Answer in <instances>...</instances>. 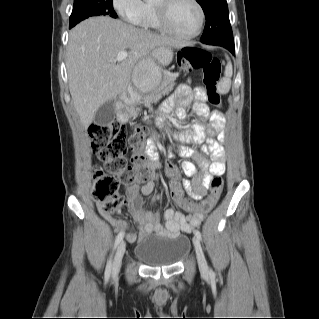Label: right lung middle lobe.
I'll use <instances>...</instances> for the list:
<instances>
[{
  "mask_svg": "<svg viewBox=\"0 0 319 319\" xmlns=\"http://www.w3.org/2000/svg\"><path fill=\"white\" fill-rule=\"evenodd\" d=\"M98 15H110L116 18L113 0H74V8L70 16V28L80 21Z\"/></svg>",
  "mask_w": 319,
  "mask_h": 319,
  "instance_id": "right-lung-middle-lobe-1",
  "label": "right lung middle lobe"
}]
</instances>
